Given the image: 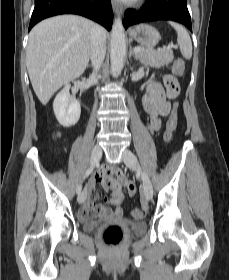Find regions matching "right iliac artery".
I'll return each instance as SVG.
<instances>
[{
	"mask_svg": "<svg viewBox=\"0 0 229 280\" xmlns=\"http://www.w3.org/2000/svg\"><path fill=\"white\" fill-rule=\"evenodd\" d=\"M92 172H93V167H90V168L85 172V174H84V176H83V180L86 179ZM82 182H83V181H81V183L77 186L76 192H77L78 195L81 193V190H82Z\"/></svg>",
	"mask_w": 229,
	"mask_h": 280,
	"instance_id": "right-iliac-artery-1",
	"label": "right iliac artery"
}]
</instances>
